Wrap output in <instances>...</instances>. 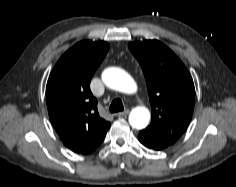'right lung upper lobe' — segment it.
<instances>
[{
  "label": "right lung upper lobe",
  "instance_id": "1",
  "mask_svg": "<svg viewBox=\"0 0 236 187\" xmlns=\"http://www.w3.org/2000/svg\"><path fill=\"white\" fill-rule=\"evenodd\" d=\"M104 41H81L54 66L46 86L50 120L65 146L89 154L104 140L110 123L99 116L90 81L106 56Z\"/></svg>",
  "mask_w": 236,
  "mask_h": 187
}]
</instances>
